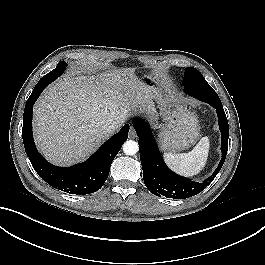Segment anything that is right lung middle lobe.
Here are the masks:
<instances>
[{
	"label": "right lung middle lobe",
	"instance_id": "1",
	"mask_svg": "<svg viewBox=\"0 0 265 265\" xmlns=\"http://www.w3.org/2000/svg\"><path fill=\"white\" fill-rule=\"evenodd\" d=\"M67 64L65 61L60 62L54 70L43 76L41 79L47 80L50 83L54 81L58 76H60L64 69L66 68Z\"/></svg>",
	"mask_w": 265,
	"mask_h": 265
}]
</instances>
